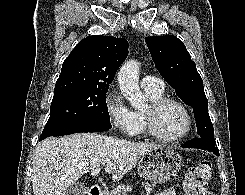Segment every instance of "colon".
<instances>
[{"mask_svg": "<svg viewBox=\"0 0 245 195\" xmlns=\"http://www.w3.org/2000/svg\"><path fill=\"white\" fill-rule=\"evenodd\" d=\"M212 175V165L209 161H201L191 166L184 178V195H212L207 183Z\"/></svg>", "mask_w": 245, "mask_h": 195, "instance_id": "1", "label": "colon"}]
</instances>
